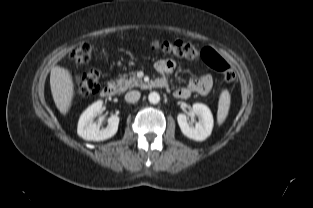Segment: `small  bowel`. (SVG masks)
Returning <instances> with one entry per match:
<instances>
[{
    "instance_id": "obj_1",
    "label": "small bowel",
    "mask_w": 313,
    "mask_h": 208,
    "mask_svg": "<svg viewBox=\"0 0 313 208\" xmlns=\"http://www.w3.org/2000/svg\"><path fill=\"white\" fill-rule=\"evenodd\" d=\"M155 69L162 75L161 79L166 81L167 76L174 71L175 63L170 59H161L155 63ZM212 87V77L210 75H204L200 78H191L188 85L177 89L174 92V95L179 99H187L193 93L207 95L211 91Z\"/></svg>"
}]
</instances>
